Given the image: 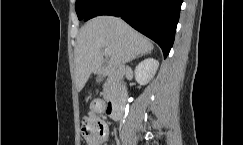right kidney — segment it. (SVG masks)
<instances>
[{
  "mask_svg": "<svg viewBox=\"0 0 243 145\" xmlns=\"http://www.w3.org/2000/svg\"><path fill=\"white\" fill-rule=\"evenodd\" d=\"M159 62L153 58L141 61L135 68V79L140 85H146L155 75Z\"/></svg>",
  "mask_w": 243,
  "mask_h": 145,
  "instance_id": "right-kidney-1",
  "label": "right kidney"
}]
</instances>
